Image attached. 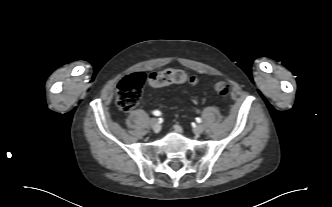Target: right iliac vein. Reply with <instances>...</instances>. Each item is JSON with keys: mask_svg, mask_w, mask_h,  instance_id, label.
Segmentation results:
<instances>
[{"mask_svg": "<svg viewBox=\"0 0 332 207\" xmlns=\"http://www.w3.org/2000/svg\"><path fill=\"white\" fill-rule=\"evenodd\" d=\"M150 126H151L152 129H153L154 131H156V132L160 129L159 122H158V120H157L156 118H152V119L150 120Z\"/></svg>", "mask_w": 332, "mask_h": 207, "instance_id": "1", "label": "right iliac vein"}]
</instances>
